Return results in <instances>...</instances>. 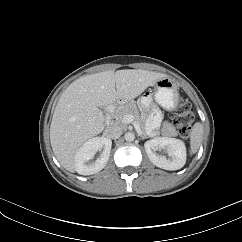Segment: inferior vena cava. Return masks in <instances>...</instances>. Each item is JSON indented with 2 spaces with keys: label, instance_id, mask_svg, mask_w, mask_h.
<instances>
[{
  "label": "inferior vena cava",
  "instance_id": "1",
  "mask_svg": "<svg viewBox=\"0 0 242 242\" xmlns=\"http://www.w3.org/2000/svg\"><path fill=\"white\" fill-rule=\"evenodd\" d=\"M123 133V129L118 124H112L106 127L104 134L110 139H117Z\"/></svg>",
  "mask_w": 242,
  "mask_h": 242
}]
</instances>
